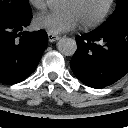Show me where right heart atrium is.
Masks as SVG:
<instances>
[{"label":"right heart atrium","instance_id":"obj_1","mask_svg":"<svg viewBox=\"0 0 128 128\" xmlns=\"http://www.w3.org/2000/svg\"><path fill=\"white\" fill-rule=\"evenodd\" d=\"M28 2L37 10H43L47 5V0H28Z\"/></svg>","mask_w":128,"mask_h":128}]
</instances>
